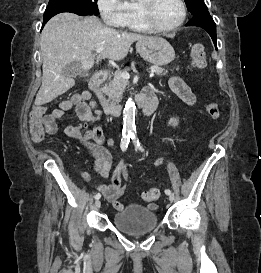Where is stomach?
Wrapping results in <instances>:
<instances>
[{
    "instance_id": "obj_1",
    "label": "stomach",
    "mask_w": 261,
    "mask_h": 273,
    "mask_svg": "<svg viewBox=\"0 0 261 273\" xmlns=\"http://www.w3.org/2000/svg\"><path fill=\"white\" fill-rule=\"evenodd\" d=\"M141 57L157 66H164L175 59V51L170 43L161 37H150L136 43Z\"/></svg>"
}]
</instances>
